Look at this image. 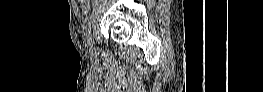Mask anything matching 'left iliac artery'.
Returning <instances> with one entry per match:
<instances>
[{
  "instance_id": "left-iliac-artery-1",
  "label": "left iliac artery",
  "mask_w": 263,
  "mask_h": 92,
  "mask_svg": "<svg viewBox=\"0 0 263 92\" xmlns=\"http://www.w3.org/2000/svg\"><path fill=\"white\" fill-rule=\"evenodd\" d=\"M86 41L89 46L93 45L92 37H91V28L90 22L88 23V28L86 30Z\"/></svg>"
}]
</instances>
